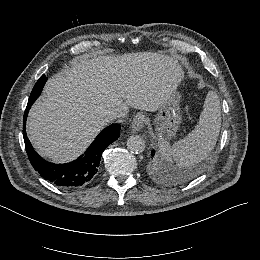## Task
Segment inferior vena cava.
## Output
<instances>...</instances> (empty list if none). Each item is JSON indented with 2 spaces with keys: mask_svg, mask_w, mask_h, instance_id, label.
Returning a JSON list of instances; mask_svg holds the SVG:
<instances>
[{
  "mask_svg": "<svg viewBox=\"0 0 260 260\" xmlns=\"http://www.w3.org/2000/svg\"><path fill=\"white\" fill-rule=\"evenodd\" d=\"M117 104H113L109 107V111L107 112L106 114V117L109 119V120H113L117 117L118 115V109H117Z\"/></svg>",
  "mask_w": 260,
  "mask_h": 260,
  "instance_id": "obj_1",
  "label": "inferior vena cava"
}]
</instances>
